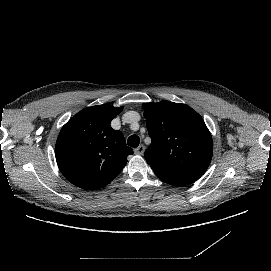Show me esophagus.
<instances>
[{"instance_id":"1","label":"esophagus","mask_w":271,"mask_h":271,"mask_svg":"<svg viewBox=\"0 0 271 271\" xmlns=\"http://www.w3.org/2000/svg\"><path fill=\"white\" fill-rule=\"evenodd\" d=\"M145 152V146L143 144L139 145L137 148L134 149V153L136 155H143Z\"/></svg>"}]
</instances>
